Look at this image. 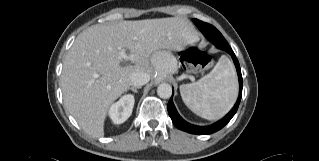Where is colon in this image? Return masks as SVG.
<instances>
[{
  "label": "colon",
  "instance_id": "5ec220e1",
  "mask_svg": "<svg viewBox=\"0 0 319 161\" xmlns=\"http://www.w3.org/2000/svg\"><path fill=\"white\" fill-rule=\"evenodd\" d=\"M180 60L184 69L189 73L198 72L210 64V56L196 46H190L180 52Z\"/></svg>",
  "mask_w": 319,
  "mask_h": 161
}]
</instances>
